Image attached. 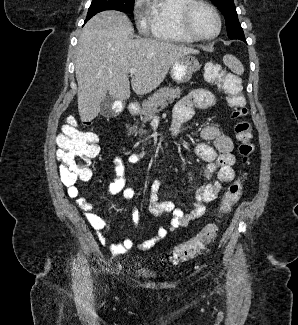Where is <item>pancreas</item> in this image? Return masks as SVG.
Returning <instances> with one entry per match:
<instances>
[{
  "label": "pancreas",
  "instance_id": "1",
  "mask_svg": "<svg viewBox=\"0 0 298 325\" xmlns=\"http://www.w3.org/2000/svg\"><path fill=\"white\" fill-rule=\"evenodd\" d=\"M182 90L183 88H181V86H162V88L153 92L148 100H143L142 102L140 120L146 122V120L154 118L156 112H160L162 108L168 106L169 102H174L175 98H180ZM134 128H137V126H130V130H134ZM146 132L147 130L140 128L139 134L141 136V134H146ZM135 134H137L136 130ZM145 140L146 138H144L143 142H145Z\"/></svg>",
  "mask_w": 298,
  "mask_h": 325
}]
</instances>
